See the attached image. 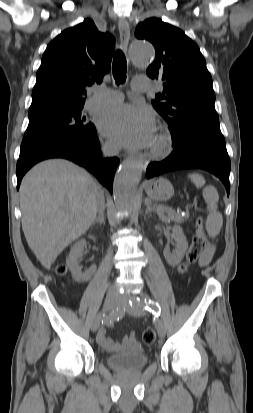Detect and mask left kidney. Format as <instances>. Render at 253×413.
<instances>
[{
	"label": "left kidney",
	"instance_id": "1",
	"mask_svg": "<svg viewBox=\"0 0 253 413\" xmlns=\"http://www.w3.org/2000/svg\"><path fill=\"white\" fill-rule=\"evenodd\" d=\"M171 238L176 242V249L171 253L168 248H165L163 254L169 265L176 266L183 259L188 243L180 226H173Z\"/></svg>",
	"mask_w": 253,
	"mask_h": 413
}]
</instances>
